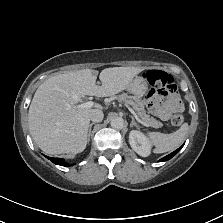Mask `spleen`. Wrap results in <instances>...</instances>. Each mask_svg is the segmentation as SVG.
<instances>
[{"mask_svg": "<svg viewBox=\"0 0 223 223\" xmlns=\"http://www.w3.org/2000/svg\"><path fill=\"white\" fill-rule=\"evenodd\" d=\"M187 130L188 124L184 123L179 130L171 134L150 133L151 143L156 147L154 153H165L175 150L184 141Z\"/></svg>", "mask_w": 223, "mask_h": 223, "instance_id": "1", "label": "spleen"}]
</instances>
